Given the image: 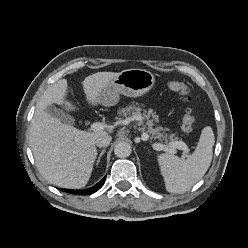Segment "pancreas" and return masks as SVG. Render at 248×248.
Masks as SVG:
<instances>
[{
    "mask_svg": "<svg viewBox=\"0 0 248 248\" xmlns=\"http://www.w3.org/2000/svg\"><path fill=\"white\" fill-rule=\"evenodd\" d=\"M118 115L123 117H132L134 120L139 121L140 124H143V120H146L145 125L142 126V130H147L151 138L158 139L159 141H165V143H181L183 141L178 140L175 137V134H166L165 129L161 126H155L154 122H158V115L152 110L148 111L142 109L141 106L136 103L128 105L125 108L118 110ZM152 117V119H150ZM155 126V127H154Z\"/></svg>",
    "mask_w": 248,
    "mask_h": 248,
    "instance_id": "cf45deb5",
    "label": "pancreas"
}]
</instances>
